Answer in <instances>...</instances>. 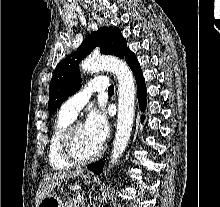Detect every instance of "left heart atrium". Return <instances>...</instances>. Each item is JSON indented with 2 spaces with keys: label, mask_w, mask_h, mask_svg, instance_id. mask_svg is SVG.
I'll return each mask as SVG.
<instances>
[{
  "label": "left heart atrium",
  "mask_w": 220,
  "mask_h": 207,
  "mask_svg": "<svg viewBox=\"0 0 220 207\" xmlns=\"http://www.w3.org/2000/svg\"><path fill=\"white\" fill-rule=\"evenodd\" d=\"M84 131L94 142L101 146L108 133L105 114L97 109L91 111L87 116Z\"/></svg>",
  "instance_id": "obj_1"
}]
</instances>
